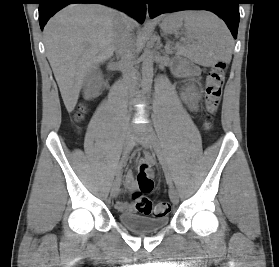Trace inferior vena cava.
I'll return each mask as SVG.
<instances>
[{
    "label": "inferior vena cava",
    "instance_id": "obj_1",
    "mask_svg": "<svg viewBox=\"0 0 279 267\" xmlns=\"http://www.w3.org/2000/svg\"><path fill=\"white\" fill-rule=\"evenodd\" d=\"M131 28L128 24V17L123 14L114 30V46L116 53L121 59L125 81L130 89L134 91L137 86V72L133 63V47L130 37Z\"/></svg>",
    "mask_w": 279,
    "mask_h": 267
}]
</instances>
